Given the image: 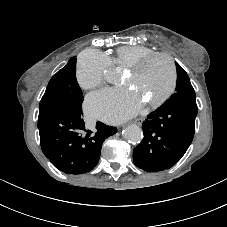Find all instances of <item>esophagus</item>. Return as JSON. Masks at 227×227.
Here are the masks:
<instances>
[{
    "label": "esophagus",
    "instance_id": "34e87169",
    "mask_svg": "<svg viewBox=\"0 0 227 227\" xmlns=\"http://www.w3.org/2000/svg\"><path fill=\"white\" fill-rule=\"evenodd\" d=\"M142 122H143L142 118H138L136 120L125 121V122L122 123V128H127L130 125H135V123L138 124V125H141Z\"/></svg>",
    "mask_w": 227,
    "mask_h": 227
}]
</instances>
